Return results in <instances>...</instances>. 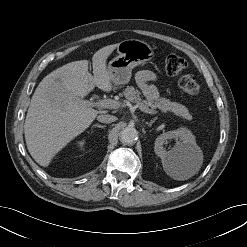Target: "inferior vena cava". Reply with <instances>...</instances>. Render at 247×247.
Returning a JSON list of instances; mask_svg holds the SVG:
<instances>
[{"instance_id":"1","label":"inferior vena cava","mask_w":247,"mask_h":247,"mask_svg":"<svg viewBox=\"0 0 247 247\" xmlns=\"http://www.w3.org/2000/svg\"><path fill=\"white\" fill-rule=\"evenodd\" d=\"M97 120L101 123H111L117 120V118L110 114H100L97 116Z\"/></svg>"}]
</instances>
